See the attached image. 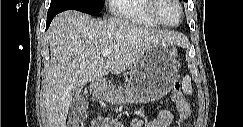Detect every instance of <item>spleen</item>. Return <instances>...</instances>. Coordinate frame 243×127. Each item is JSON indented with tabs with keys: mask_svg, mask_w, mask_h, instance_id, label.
<instances>
[{
	"mask_svg": "<svg viewBox=\"0 0 243 127\" xmlns=\"http://www.w3.org/2000/svg\"><path fill=\"white\" fill-rule=\"evenodd\" d=\"M182 88L186 94H192L191 78L190 76H185L182 81Z\"/></svg>",
	"mask_w": 243,
	"mask_h": 127,
	"instance_id": "3e777b00",
	"label": "spleen"
}]
</instances>
